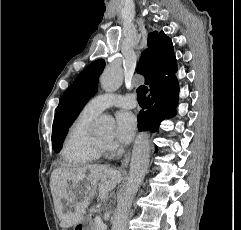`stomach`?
<instances>
[{
    "label": "stomach",
    "instance_id": "stomach-1",
    "mask_svg": "<svg viewBox=\"0 0 241 230\" xmlns=\"http://www.w3.org/2000/svg\"><path fill=\"white\" fill-rule=\"evenodd\" d=\"M75 230H93V222L84 218L80 223L75 225Z\"/></svg>",
    "mask_w": 241,
    "mask_h": 230
}]
</instances>
